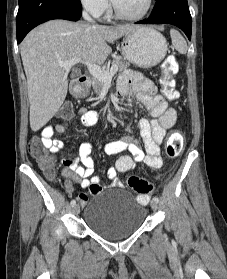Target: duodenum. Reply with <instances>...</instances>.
Instances as JSON below:
<instances>
[{
	"mask_svg": "<svg viewBox=\"0 0 227 279\" xmlns=\"http://www.w3.org/2000/svg\"><path fill=\"white\" fill-rule=\"evenodd\" d=\"M87 85L88 83L86 78H78L71 89L72 95L76 98L83 97L87 90Z\"/></svg>",
	"mask_w": 227,
	"mask_h": 279,
	"instance_id": "obj_1",
	"label": "duodenum"
}]
</instances>
